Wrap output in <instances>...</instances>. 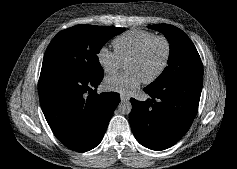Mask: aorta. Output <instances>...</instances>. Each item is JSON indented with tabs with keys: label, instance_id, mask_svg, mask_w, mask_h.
<instances>
[{
	"label": "aorta",
	"instance_id": "aorta-1",
	"mask_svg": "<svg viewBox=\"0 0 237 169\" xmlns=\"http://www.w3.org/2000/svg\"><path fill=\"white\" fill-rule=\"evenodd\" d=\"M132 110L131 102L128 100H123L119 103L117 111L121 115H128Z\"/></svg>",
	"mask_w": 237,
	"mask_h": 169
}]
</instances>
